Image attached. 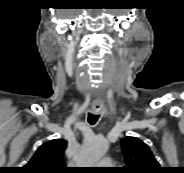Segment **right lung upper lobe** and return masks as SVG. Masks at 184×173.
<instances>
[{
  "instance_id": "right-lung-upper-lobe-1",
  "label": "right lung upper lobe",
  "mask_w": 184,
  "mask_h": 173,
  "mask_svg": "<svg viewBox=\"0 0 184 173\" xmlns=\"http://www.w3.org/2000/svg\"><path fill=\"white\" fill-rule=\"evenodd\" d=\"M67 142L54 139L41 145L31 160L22 167L23 173H67L64 163V151Z\"/></svg>"
}]
</instances>
